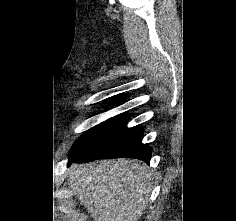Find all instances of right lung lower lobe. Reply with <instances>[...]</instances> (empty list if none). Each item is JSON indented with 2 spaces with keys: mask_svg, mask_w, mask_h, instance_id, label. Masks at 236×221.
I'll use <instances>...</instances> for the list:
<instances>
[{
  "mask_svg": "<svg viewBox=\"0 0 236 221\" xmlns=\"http://www.w3.org/2000/svg\"><path fill=\"white\" fill-rule=\"evenodd\" d=\"M141 139V130L127 128L125 120L110 121L69 156L68 165L120 157L149 162L151 148L142 144Z\"/></svg>",
  "mask_w": 236,
  "mask_h": 221,
  "instance_id": "1",
  "label": "right lung lower lobe"
}]
</instances>
